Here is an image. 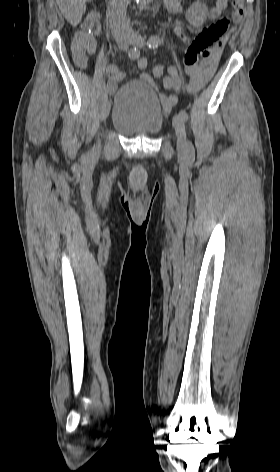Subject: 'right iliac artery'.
I'll return each instance as SVG.
<instances>
[{
	"label": "right iliac artery",
	"instance_id": "82829eb1",
	"mask_svg": "<svg viewBox=\"0 0 280 472\" xmlns=\"http://www.w3.org/2000/svg\"><path fill=\"white\" fill-rule=\"evenodd\" d=\"M128 56L131 58V59H138L139 56H140V51L135 47V48H131L129 51H128ZM119 69L117 66L115 65H109L107 68H106V73L108 75H111L113 76L114 74L118 73ZM107 99V87L105 84H103L102 86V89H101V95H100V101L103 102L104 100Z\"/></svg>",
	"mask_w": 280,
	"mask_h": 472
}]
</instances>
